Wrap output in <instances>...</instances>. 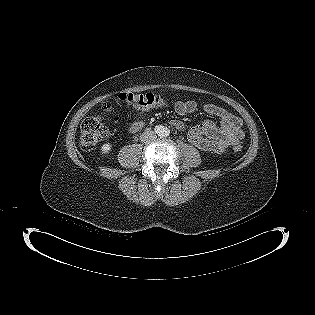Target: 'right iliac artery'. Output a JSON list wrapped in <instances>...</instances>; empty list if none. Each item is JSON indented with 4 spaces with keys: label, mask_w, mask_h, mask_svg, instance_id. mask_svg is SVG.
Listing matches in <instances>:
<instances>
[{
    "label": "right iliac artery",
    "mask_w": 315,
    "mask_h": 315,
    "mask_svg": "<svg viewBox=\"0 0 315 315\" xmlns=\"http://www.w3.org/2000/svg\"><path fill=\"white\" fill-rule=\"evenodd\" d=\"M154 130H155V132H156L157 134L160 135V134L162 133V130H163V129H162L161 126H156Z\"/></svg>",
    "instance_id": "right-iliac-artery-1"
}]
</instances>
